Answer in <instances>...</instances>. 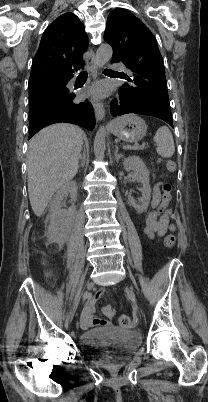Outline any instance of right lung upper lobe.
Returning a JSON list of instances; mask_svg holds the SVG:
<instances>
[{
	"mask_svg": "<svg viewBox=\"0 0 208 402\" xmlns=\"http://www.w3.org/2000/svg\"><path fill=\"white\" fill-rule=\"evenodd\" d=\"M88 44L84 25L78 17L73 13L62 14L42 35L30 80H70L73 72L84 66L82 56Z\"/></svg>",
	"mask_w": 208,
	"mask_h": 402,
	"instance_id": "cb5924a9",
	"label": "right lung upper lobe"
}]
</instances>
